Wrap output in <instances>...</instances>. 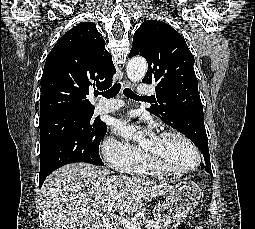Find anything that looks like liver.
Masks as SVG:
<instances>
[{"instance_id":"liver-1","label":"liver","mask_w":255,"mask_h":229,"mask_svg":"<svg viewBox=\"0 0 255 229\" xmlns=\"http://www.w3.org/2000/svg\"><path fill=\"white\" fill-rule=\"evenodd\" d=\"M109 175L106 168L83 162L65 165L51 173L40 194L50 229H104L99 217L109 203H113L116 211L132 214L150 197L163 196L170 189L166 183ZM117 195L120 197L114 199Z\"/></svg>"}]
</instances>
